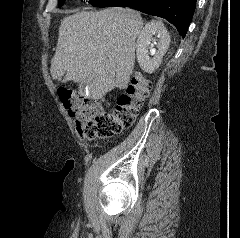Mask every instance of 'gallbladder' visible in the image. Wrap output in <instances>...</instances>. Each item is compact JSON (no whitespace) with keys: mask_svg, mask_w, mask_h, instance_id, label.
I'll return each instance as SVG.
<instances>
[{"mask_svg":"<svg viewBox=\"0 0 240 238\" xmlns=\"http://www.w3.org/2000/svg\"><path fill=\"white\" fill-rule=\"evenodd\" d=\"M85 88H86V82L80 83L79 85L80 92H84Z\"/></svg>","mask_w":240,"mask_h":238,"instance_id":"gallbladder-1","label":"gallbladder"}]
</instances>
